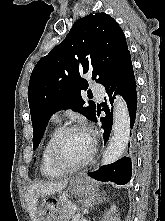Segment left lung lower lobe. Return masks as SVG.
<instances>
[{"mask_svg":"<svg viewBox=\"0 0 165 221\" xmlns=\"http://www.w3.org/2000/svg\"><path fill=\"white\" fill-rule=\"evenodd\" d=\"M103 86L107 93L106 102L109 101L111 105L113 104L116 94H121L124 97L128 105L130 127L133 128L137 111V91L130 54L125 57L117 71ZM104 106L103 111L106 113V116L100 120L104 130V143H106L111 133L113 117L112 109L108 107L106 103H104ZM93 121L97 122L96 116ZM128 146H130V144H128ZM88 175L99 181H112L118 185H125L131 179L132 159L130 156L123 157L113 164L105 165L97 171L89 172Z\"/></svg>","mask_w":165,"mask_h":221,"instance_id":"0a47b994","label":"left lung lower lobe"}]
</instances>
